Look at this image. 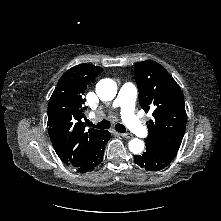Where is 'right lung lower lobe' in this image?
Here are the masks:
<instances>
[{"label":"right lung lower lobe","instance_id":"1","mask_svg":"<svg viewBox=\"0 0 221 221\" xmlns=\"http://www.w3.org/2000/svg\"><path fill=\"white\" fill-rule=\"evenodd\" d=\"M111 134L109 131L104 130L97 140L89 157L80 165L73 166L78 172L85 173L93 170L103 159L104 148L109 141Z\"/></svg>","mask_w":221,"mask_h":221}]
</instances>
